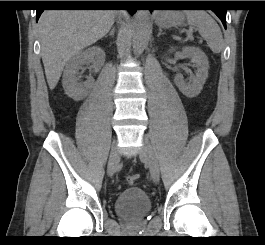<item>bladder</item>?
I'll use <instances>...</instances> for the list:
<instances>
[{
  "instance_id": "obj_1",
  "label": "bladder",
  "mask_w": 265,
  "mask_h": 245,
  "mask_svg": "<svg viewBox=\"0 0 265 245\" xmlns=\"http://www.w3.org/2000/svg\"><path fill=\"white\" fill-rule=\"evenodd\" d=\"M114 209L118 216L128 221L141 219L151 212L148 195L140 188H127L116 198Z\"/></svg>"
}]
</instances>
